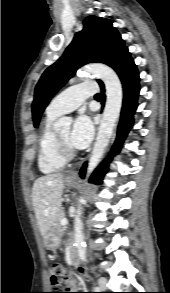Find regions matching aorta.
<instances>
[{"mask_svg":"<svg viewBox=\"0 0 170 293\" xmlns=\"http://www.w3.org/2000/svg\"><path fill=\"white\" fill-rule=\"evenodd\" d=\"M83 75H92L101 79L106 89V104L103 111L102 119L98 128L97 138L89 158L86 179L95 169L104 155L106 147L112 136L116 121L120 115L123 99V90L120 79L116 72L109 66L101 63L86 65L82 69ZM71 120L67 117L60 118L55 124L56 128L69 125ZM83 198L80 199L82 201ZM82 203L78 204L76 216L74 219V237L75 245L78 250V256L81 261L86 260L85 243L83 235V222L81 220Z\"/></svg>","mask_w":170,"mask_h":293,"instance_id":"obj_1","label":"aorta"}]
</instances>
